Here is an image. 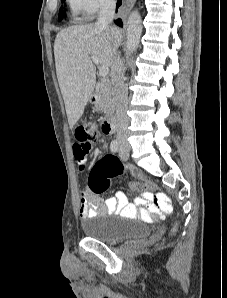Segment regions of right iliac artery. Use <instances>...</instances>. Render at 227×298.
<instances>
[{
  "label": "right iliac artery",
  "mask_w": 227,
  "mask_h": 298,
  "mask_svg": "<svg viewBox=\"0 0 227 298\" xmlns=\"http://www.w3.org/2000/svg\"><path fill=\"white\" fill-rule=\"evenodd\" d=\"M119 148V143L117 140H113L110 144V149L112 152L116 153L118 151Z\"/></svg>",
  "instance_id": "obj_1"
}]
</instances>
